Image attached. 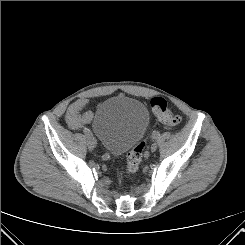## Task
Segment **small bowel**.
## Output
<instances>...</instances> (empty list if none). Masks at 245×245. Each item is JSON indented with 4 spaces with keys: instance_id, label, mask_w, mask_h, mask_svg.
<instances>
[{
    "instance_id": "obj_1",
    "label": "small bowel",
    "mask_w": 245,
    "mask_h": 245,
    "mask_svg": "<svg viewBox=\"0 0 245 245\" xmlns=\"http://www.w3.org/2000/svg\"><path fill=\"white\" fill-rule=\"evenodd\" d=\"M86 106V99H78L70 105L66 113V121L70 129L78 130L83 124L90 122L92 114L86 110Z\"/></svg>"
}]
</instances>
